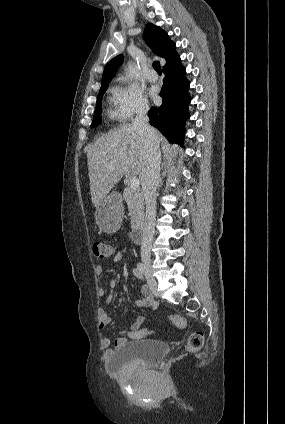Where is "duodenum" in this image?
<instances>
[{"instance_id":"obj_1","label":"duodenum","mask_w":285,"mask_h":424,"mask_svg":"<svg viewBox=\"0 0 285 424\" xmlns=\"http://www.w3.org/2000/svg\"><path fill=\"white\" fill-rule=\"evenodd\" d=\"M132 241L136 244H140L144 241V228L137 226L132 232Z\"/></svg>"}]
</instances>
